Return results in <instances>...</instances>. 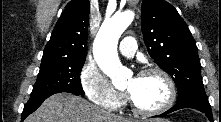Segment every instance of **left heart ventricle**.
Masks as SVG:
<instances>
[{"instance_id": "b2bd125f", "label": "left heart ventricle", "mask_w": 221, "mask_h": 122, "mask_svg": "<svg viewBox=\"0 0 221 122\" xmlns=\"http://www.w3.org/2000/svg\"><path fill=\"white\" fill-rule=\"evenodd\" d=\"M125 90L140 107L145 109L158 108L167 99L166 84L156 74L130 78Z\"/></svg>"}]
</instances>
